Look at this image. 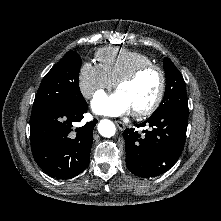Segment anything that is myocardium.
<instances>
[{
  "label": "myocardium",
  "mask_w": 221,
  "mask_h": 221,
  "mask_svg": "<svg viewBox=\"0 0 221 221\" xmlns=\"http://www.w3.org/2000/svg\"><path fill=\"white\" fill-rule=\"evenodd\" d=\"M150 70L156 71L160 77L159 91H158V94H157L155 100L152 102V104H150L148 107H146L144 109L133 111V114L137 117L149 116V115L153 114L161 105V103L164 99V96H165L166 86H167V79H166V74H165L164 70L160 66L153 64V63L143 64V65L137 66L136 68L131 70L129 73L122 76L116 82V88L119 89L122 85L133 82L139 76H141L143 73L150 71Z\"/></svg>",
  "instance_id": "f54148a6"
}]
</instances>
